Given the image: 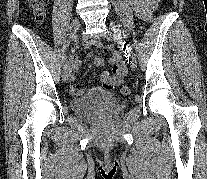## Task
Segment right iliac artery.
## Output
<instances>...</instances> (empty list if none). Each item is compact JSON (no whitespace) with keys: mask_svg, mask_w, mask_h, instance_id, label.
<instances>
[{"mask_svg":"<svg viewBox=\"0 0 207 179\" xmlns=\"http://www.w3.org/2000/svg\"><path fill=\"white\" fill-rule=\"evenodd\" d=\"M69 45H70V41H69V40H66V41L64 42V45H63V50H62V52H63L62 62H63V64H64V67L67 65V60H66L65 52H66L67 47H69Z\"/></svg>","mask_w":207,"mask_h":179,"instance_id":"right-iliac-artery-1","label":"right iliac artery"}]
</instances>
